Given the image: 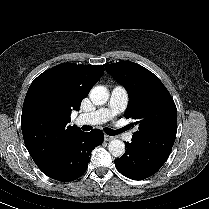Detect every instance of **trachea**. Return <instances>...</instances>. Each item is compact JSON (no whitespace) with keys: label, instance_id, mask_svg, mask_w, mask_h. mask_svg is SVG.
Returning <instances> with one entry per match:
<instances>
[{"label":"trachea","instance_id":"trachea-1","mask_svg":"<svg viewBox=\"0 0 209 209\" xmlns=\"http://www.w3.org/2000/svg\"><path fill=\"white\" fill-rule=\"evenodd\" d=\"M82 129H83L84 131H90V130L92 129V127H91V126L84 125V126L82 127ZM104 131H105L106 134H108V135H110V136H114V135H117V134H119V133L125 131V128H122V129H120V130H113V129H110V128H104Z\"/></svg>","mask_w":209,"mask_h":209}]
</instances>
